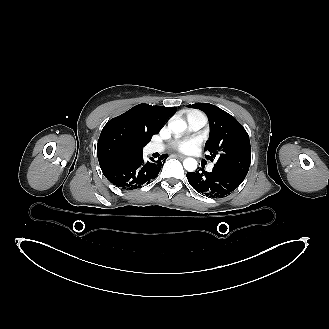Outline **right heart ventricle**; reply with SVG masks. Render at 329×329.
Returning <instances> with one entry per match:
<instances>
[{
    "mask_svg": "<svg viewBox=\"0 0 329 329\" xmlns=\"http://www.w3.org/2000/svg\"><path fill=\"white\" fill-rule=\"evenodd\" d=\"M192 113H197V112H192ZM192 113H190V114H192ZM190 114H189V115H190Z\"/></svg>",
    "mask_w": 329,
    "mask_h": 329,
    "instance_id": "obj_1",
    "label": "right heart ventricle"
}]
</instances>
